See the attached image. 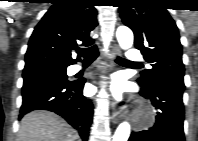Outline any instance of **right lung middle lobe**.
<instances>
[{"instance_id": "1", "label": "right lung middle lobe", "mask_w": 198, "mask_h": 141, "mask_svg": "<svg viewBox=\"0 0 198 141\" xmlns=\"http://www.w3.org/2000/svg\"><path fill=\"white\" fill-rule=\"evenodd\" d=\"M44 75H56L63 78H67L66 75V67L61 68H44L29 72H23V78H32V77H38V76H44Z\"/></svg>"}]
</instances>
